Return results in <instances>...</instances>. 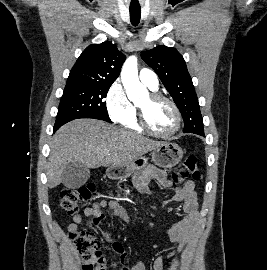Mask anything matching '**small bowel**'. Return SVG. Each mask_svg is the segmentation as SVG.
Instances as JSON below:
<instances>
[{"mask_svg":"<svg viewBox=\"0 0 267 270\" xmlns=\"http://www.w3.org/2000/svg\"><path fill=\"white\" fill-rule=\"evenodd\" d=\"M150 177L160 181L164 186L170 185V180L167 179L164 171L155 168L147 167L135 175L134 183L139 189H144ZM182 203L184 216L182 219L174 222L165 232V236L177 246H183L193 235L197 222H198V207L197 197L192 181L182 182L180 188L176 193L167 201ZM111 209L114 216L119 218H126L127 212L117 201L101 200L93 202L89 207H86L82 214H77L73 217V222L69 225V230H76L78 225L84 219H91L95 223H100L104 219L103 209ZM110 237V235H107ZM113 252L118 255L122 260L126 257V252L119 242H114L112 245ZM174 253H169L166 257L158 256L153 263L154 270H166L167 263L173 258ZM122 270H145L144 263L138 261L130 269L123 268Z\"/></svg>","mask_w":267,"mask_h":270,"instance_id":"c3829d8e","label":"small bowel"}]
</instances>
